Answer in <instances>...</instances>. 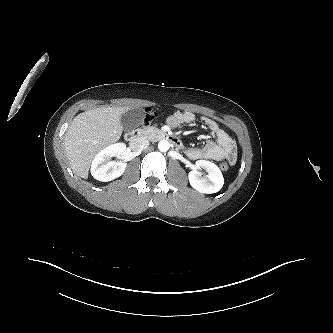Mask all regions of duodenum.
<instances>
[{"label": "duodenum", "mask_w": 333, "mask_h": 333, "mask_svg": "<svg viewBox=\"0 0 333 333\" xmlns=\"http://www.w3.org/2000/svg\"><path fill=\"white\" fill-rule=\"evenodd\" d=\"M156 135L160 139L168 141L170 144H172L176 148H180L182 146L181 141L176 136H174L168 132L157 131ZM142 136H143V133L141 131H130L125 135V139L132 148L137 149L140 145Z\"/></svg>", "instance_id": "1"}]
</instances>
